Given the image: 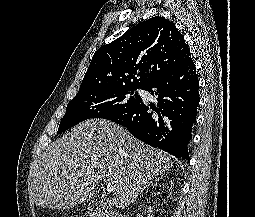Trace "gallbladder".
<instances>
[{
  "instance_id": "gallbladder-1",
  "label": "gallbladder",
  "mask_w": 255,
  "mask_h": 217,
  "mask_svg": "<svg viewBox=\"0 0 255 217\" xmlns=\"http://www.w3.org/2000/svg\"><path fill=\"white\" fill-rule=\"evenodd\" d=\"M97 200L96 201H92L90 204H89V206H88V208H90V207H92V206H97Z\"/></svg>"
}]
</instances>
